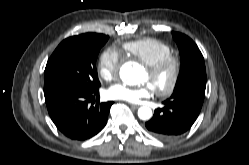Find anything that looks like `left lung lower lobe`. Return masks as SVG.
Wrapping results in <instances>:
<instances>
[{
  "label": "left lung lower lobe",
  "instance_id": "left-lung-lower-lobe-1",
  "mask_svg": "<svg viewBox=\"0 0 249 165\" xmlns=\"http://www.w3.org/2000/svg\"><path fill=\"white\" fill-rule=\"evenodd\" d=\"M205 93L190 90L172 95L163 102L164 107L155 110L153 117L145 123L153 136L163 139H174L193 125L197 119Z\"/></svg>",
  "mask_w": 249,
  "mask_h": 165
}]
</instances>
